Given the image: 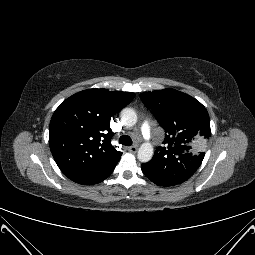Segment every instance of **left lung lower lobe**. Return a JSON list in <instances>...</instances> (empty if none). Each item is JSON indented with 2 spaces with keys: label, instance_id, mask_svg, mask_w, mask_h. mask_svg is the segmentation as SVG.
Here are the masks:
<instances>
[{
  "label": "left lung lower lobe",
  "instance_id": "0a47b994",
  "mask_svg": "<svg viewBox=\"0 0 255 255\" xmlns=\"http://www.w3.org/2000/svg\"><path fill=\"white\" fill-rule=\"evenodd\" d=\"M143 171V169H142ZM143 173L145 174V176L147 178H149L153 183L159 185V186H173L171 185L170 183L166 182V181H163V180H158V179H155L153 178L152 176L148 175L145 171H143Z\"/></svg>",
  "mask_w": 255,
  "mask_h": 255
}]
</instances>
